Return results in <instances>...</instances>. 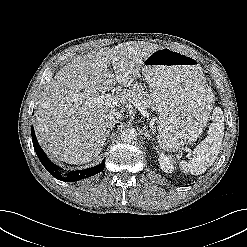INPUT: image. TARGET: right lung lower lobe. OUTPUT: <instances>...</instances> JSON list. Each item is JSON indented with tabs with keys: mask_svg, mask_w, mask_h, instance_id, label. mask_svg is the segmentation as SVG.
<instances>
[{
	"mask_svg": "<svg viewBox=\"0 0 247 247\" xmlns=\"http://www.w3.org/2000/svg\"><path fill=\"white\" fill-rule=\"evenodd\" d=\"M31 132H32V141H33V146L34 149L36 151V154L39 158V160L41 161V163L43 164V166L47 169V171L54 176L55 178L62 180V181H67V182H74V181H78L90 176H93L99 172H101L105 165H104V161L94 167L85 169V170H81V171H73L70 174H68L67 177H62L59 172V167H57L55 164H53L48 157L46 156V154L44 153V151L41 149L40 145L37 142L36 136H35V132H34V128H31Z\"/></svg>",
	"mask_w": 247,
	"mask_h": 247,
	"instance_id": "right-lung-lower-lobe-1",
	"label": "right lung lower lobe"
}]
</instances>
